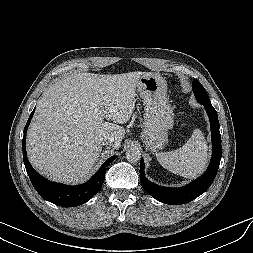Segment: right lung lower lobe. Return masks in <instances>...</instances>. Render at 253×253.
I'll list each match as a JSON object with an SVG mask.
<instances>
[{
	"label": "right lung lower lobe",
	"instance_id": "right-lung-lower-lobe-1",
	"mask_svg": "<svg viewBox=\"0 0 253 253\" xmlns=\"http://www.w3.org/2000/svg\"><path fill=\"white\" fill-rule=\"evenodd\" d=\"M35 109L30 114L27 124L24 128L23 137V160L26 167L27 174L36 191L45 200L62 207H74L81 205L91 199L102 187L106 167L115 160L116 156L109 158L97 173L86 183L77 186H68L60 183H54L46 180L40 176L31 166L27 159L25 148L26 132L30 124Z\"/></svg>",
	"mask_w": 253,
	"mask_h": 253
}]
</instances>
